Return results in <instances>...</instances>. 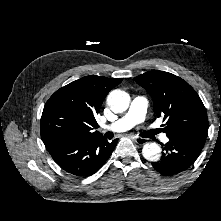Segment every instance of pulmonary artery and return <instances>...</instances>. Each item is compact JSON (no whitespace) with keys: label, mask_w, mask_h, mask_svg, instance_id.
<instances>
[{"label":"pulmonary artery","mask_w":221,"mask_h":221,"mask_svg":"<svg viewBox=\"0 0 221 221\" xmlns=\"http://www.w3.org/2000/svg\"><path fill=\"white\" fill-rule=\"evenodd\" d=\"M148 108V101L142 96H136L127 111V113L119 118L111 125L104 126V129L112 130L114 132H124L144 121ZM163 142H167L166 136L162 137Z\"/></svg>","instance_id":"e3ab8cb5"}]
</instances>
